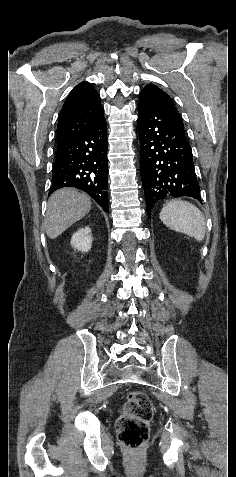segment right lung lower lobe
<instances>
[{
    "mask_svg": "<svg viewBox=\"0 0 236 477\" xmlns=\"http://www.w3.org/2000/svg\"><path fill=\"white\" fill-rule=\"evenodd\" d=\"M107 186V135L103 118L78 138L57 149L49 195L59 188L75 187L88 193L108 212Z\"/></svg>",
    "mask_w": 236,
    "mask_h": 477,
    "instance_id": "1",
    "label": "right lung lower lobe"
}]
</instances>
